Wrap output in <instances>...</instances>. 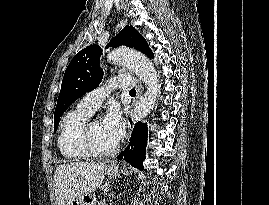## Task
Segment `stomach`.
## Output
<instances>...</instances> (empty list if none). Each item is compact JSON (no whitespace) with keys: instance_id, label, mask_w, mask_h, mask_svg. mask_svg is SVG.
<instances>
[{"instance_id":"stomach-1","label":"stomach","mask_w":269,"mask_h":205,"mask_svg":"<svg viewBox=\"0 0 269 205\" xmlns=\"http://www.w3.org/2000/svg\"><path fill=\"white\" fill-rule=\"evenodd\" d=\"M105 173L108 175L110 178H115L119 174V169L118 167L114 164L111 163L105 168ZM71 205H95V199L94 197L87 193V194H82L78 196Z\"/></svg>"}]
</instances>
